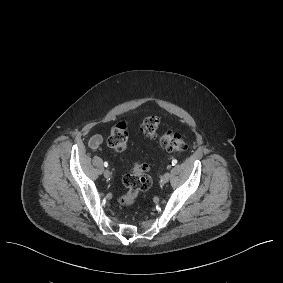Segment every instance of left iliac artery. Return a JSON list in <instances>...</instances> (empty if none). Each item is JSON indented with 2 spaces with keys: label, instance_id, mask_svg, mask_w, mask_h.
<instances>
[{
  "label": "left iliac artery",
  "instance_id": "left-iliac-artery-1",
  "mask_svg": "<svg viewBox=\"0 0 283 283\" xmlns=\"http://www.w3.org/2000/svg\"><path fill=\"white\" fill-rule=\"evenodd\" d=\"M176 164H177V160L176 159L172 160V165L174 166Z\"/></svg>",
  "mask_w": 283,
  "mask_h": 283
}]
</instances>
